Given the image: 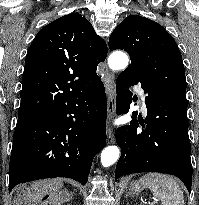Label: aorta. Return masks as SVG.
<instances>
[{
	"label": "aorta",
	"instance_id": "1",
	"mask_svg": "<svg viewBox=\"0 0 199 205\" xmlns=\"http://www.w3.org/2000/svg\"><path fill=\"white\" fill-rule=\"evenodd\" d=\"M128 56L122 51L113 52L108 59V65L113 71L121 70L127 67ZM120 156V150L116 146H108L101 153V164L107 168L113 165Z\"/></svg>",
	"mask_w": 199,
	"mask_h": 205
}]
</instances>
